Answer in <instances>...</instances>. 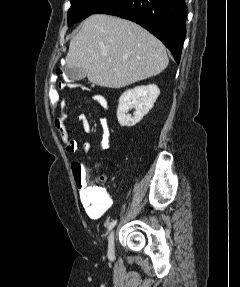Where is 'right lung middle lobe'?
<instances>
[{"label": "right lung middle lobe", "instance_id": "obj_1", "mask_svg": "<svg viewBox=\"0 0 240 287\" xmlns=\"http://www.w3.org/2000/svg\"><path fill=\"white\" fill-rule=\"evenodd\" d=\"M106 1L107 0H71V7L67 14L68 25H73L94 14Z\"/></svg>", "mask_w": 240, "mask_h": 287}]
</instances>
